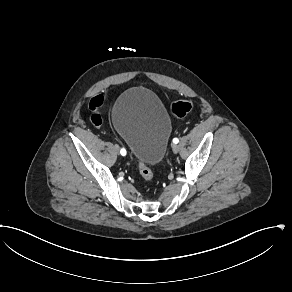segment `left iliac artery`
<instances>
[{
  "mask_svg": "<svg viewBox=\"0 0 292 292\" xmlns=\"http://www.w3.org/2000/svg\"><path fill=\"white\" fill-rule=\"evenodd\" d=\"M179 142V139L178 138H174L173 139V143L177 144Z\"/></svg>",
  "mask_w": 292,
  "mask_h": 292,
  "instance_id": "1",
  "label": "left iliac artery"
}]
</instances>
